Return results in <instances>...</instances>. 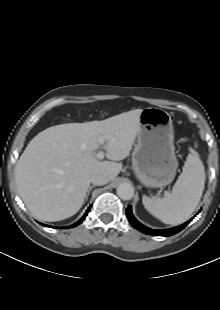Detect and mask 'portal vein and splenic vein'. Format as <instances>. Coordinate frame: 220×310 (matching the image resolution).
Here are the masks:
<instances>
[{
    "label": "portal vein and splenic vein",
    "mask_w": 220,
    "mask_h": 310,
    "mask_svg": "<svg viewBox=\"0 0 220 310\" xmlns=\"http://www.w3.org/2000/svg\"><path fill=\"white\" fill-rule=\"evenodd\" d=\"M99 143H100V145H103V147H104L105 140H104L103 137H100V138H99ZM95 156H96L97 159H100V160H101V159L104 158L105 153H104L103 150H101V151H99Z\"/></svg>",
    "instance_id": "obj_1"
}]
</instances>
